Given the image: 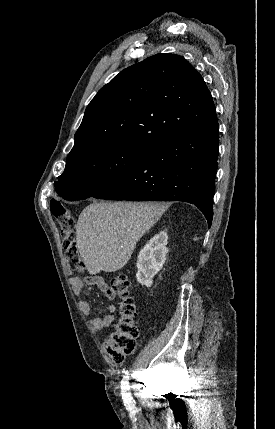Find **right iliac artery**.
<instances>
[{
	"mask_svg": "<svg viewBox=\"0 0 275 429\" xmlns=\"http://www.w3.org/2000/svg\"><path fill=\"white\" fill-rule=\"evenodd\" d=\"M128 372L125 373V376L121 382V389H122V398L124 400V402L129 406L132 407L133 406V400L132 397L129 393V383H128Z\"/></svg>",
	"mask_w": 275,
	"mask_h": 429,
	"instance_id": "1",
	"label": "right iliac artery"
}]
</instances>
